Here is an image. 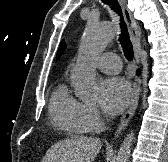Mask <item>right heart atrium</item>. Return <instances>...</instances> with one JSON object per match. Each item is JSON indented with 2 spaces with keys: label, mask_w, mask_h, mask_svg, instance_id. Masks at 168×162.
I'll list each match as a JSON object with an SVG mask.
<instances>
[{
  "label": "right heart atrium",
  "mask_w": 168,
  "mask_h": 162,
  "mask_svg": "<svg viewBox=\"0 0 168 162\" xmlns=\"http://www.w3.org/2000/svg\"><path fill=\"white\" fill-rule=\"evenodd\" d=\"M81 118L89 130H99L102 127V118L92 104L82 103Z\"/></svg>",
  "instance_id": "d8ad5b80"
}]
</instances>
